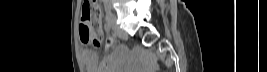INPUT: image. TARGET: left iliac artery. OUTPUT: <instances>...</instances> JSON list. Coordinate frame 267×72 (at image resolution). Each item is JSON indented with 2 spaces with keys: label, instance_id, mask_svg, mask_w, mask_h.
<instances>
[{
  "label": "left iliac artery",
  "instance_id": "obj_1",
  "mask_svg": "<svg viewBox=\"0 0 267 72\" xmlns=\"http://www.w3.org/2000/svg\"><path fill=\"white\" fill-rule=\"evenodd\" d=\"M104 7L106 11V22H107V27L111 28L112 27V22H111V3L109 1L104 2Z\"/></svg>",
  "mask_w": 267,
  "mask_h": 72
}]
</instances>
